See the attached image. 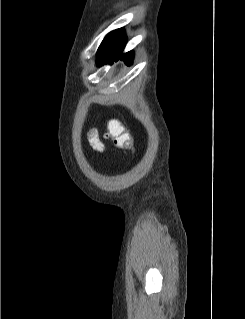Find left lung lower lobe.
<instances>
[{
    "instance_id": "1",
    "label": "left lung lower lobe",
    "mask_w": 245,
    "mask_h": 319,
    "mask_svg": "<svg viewBox=\"0 0 245 319\" xmlns=\"http://www.w3.org/2000/svg\"><path fill=\"white\" fill-rule=\"evenodd\" d=\"M126 41L127 37L125 36V33H123L117 45L113 49L98 51V65L101 66L106 63H112L113 60H118L119 58L124 60L127 64H130L133 59V52L130 51L124 54L122 53Z\"/></svg>"
}]
</instances>
